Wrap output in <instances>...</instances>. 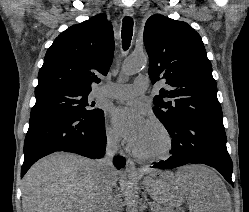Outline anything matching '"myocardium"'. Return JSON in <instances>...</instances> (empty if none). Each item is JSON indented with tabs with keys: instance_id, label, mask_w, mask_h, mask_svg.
<instances>
[{
	"instance_id": "1",
	"label": "myocardium",
	"mask_w": 249,
	"mask_h": 212,
	"mask_svg": "<svg viewBox=\"0 0 249 212\" xmlns=\"http://www.w3.org/2000/svg\"><path fill=\"white\" fill-rule=\"evenodd\" d=\"M148 123L153 124L160 130L165 140V147L163 148V150L155 154L144 155L136 152L134 156L141 161H158L169 158L174 150L175 145L172 133L170 132L168 127L157 118H150L148 120Z\"/></svg>"
}]
</instances>
